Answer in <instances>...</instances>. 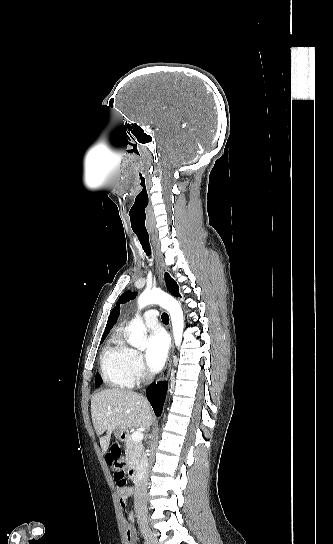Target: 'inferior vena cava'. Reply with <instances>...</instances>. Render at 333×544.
Masks as SVG:
<instances>
[{
  "instance_id": "1",
  "label": "inferior vena cava",
  "mask_w": 333,
  "mask_h": 544,
  "mask_svg": "<svg viewBox=\"0 0 333 544\" xmlns=\"http://www.w3.org/2000/svg\"><path fill=\"white\" fill-rule=\"evenodd\" d=\"M147 485L148 460L146 454L143 453L138 466L134 494V508L139 519H145L147 516Z\"/></svg>"
}]
</instances>
